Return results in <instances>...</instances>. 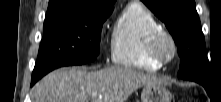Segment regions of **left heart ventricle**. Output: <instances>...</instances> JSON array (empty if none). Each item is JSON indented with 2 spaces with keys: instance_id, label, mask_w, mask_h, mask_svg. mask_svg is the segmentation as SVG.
Instances as JSON below:
<instances>
[{
  "instance_id": "left-heart-ventricle-1",
  "label": "left heart ventricle",
  "mask_w": 221,
  "mask_h": 102,
  "mask_svg": "<svg viewBox=\"0 0 221 102\" xmlns=\"http://www.w3.org/2000/svg\"><path fill=\"white\" fill-rule=\"evenodd\" d=\"M170 52H171L170 47H169L168 45H165V47H164V53H165L166 55H168V54H170Z\"/></svg>"
}]
</instances>
